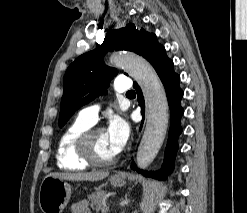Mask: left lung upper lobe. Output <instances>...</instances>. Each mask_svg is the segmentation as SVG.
Returning a JSON list of instances; mask_svg holds the SVG:
<instances>
[{
	"mask_svg": "<svg viewBox=\"0 0 247 213\" xmlns=\"http://www.w3.org/2000/svg\"><path fill=\"white\" fill-rule=\"evenodd\" d=\"M113 50H128L141 55L153 67L168 58L165 48L157 41L156 35L144 29L138 30L134 24L107 33L102 45L79 56L64 75V93L61 100L59 126L62 127L82 105L106 94L111 79L117 70L105 66L104 54Z\"/></svg>",
	"mask_w": 247,
	"mask_h": 213,
	"instance_id": "obj_1",
	"label": "left lung upper lobe"
}]
</instances>
